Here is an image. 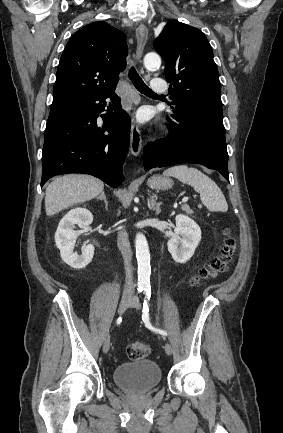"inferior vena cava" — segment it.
Instances as JSON below:
<instances>
[{"label":"inferior vena cava","mask_w":283,"mask_h":433,"mask_svg":"<svg viewBox=\"0 0 283 433\" xmlns=\"http://www.w3.org/2000/svg\"><path fill=\"white\" fill-rule=\"evenodd\" d=\"M117 245L119 251H121V255L123 257L125 265L126 285L124 293H132L134 289L133 269L131 267L132 253L130 249L128 235L126 231H124V229H122V231H120L118 235Z\"/></svg>","instance_id":"obj_1"}]
</instances>
